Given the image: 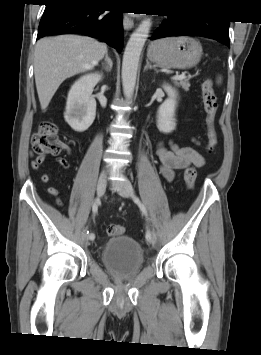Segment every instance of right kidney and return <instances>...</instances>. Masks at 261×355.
Instances as JSON below:
<instances>
[{"mask_svg":"<svg viewBox=\"0 0 261 355\" xmlns=\"http://www.w3.org/2000/svg\"><path fill=\"white\" fill-rule=\"evenodd\" d=\"M101 79V74L90 73L72 85L67 97L64 118L73 130L84 132L92 125L96 116V100L92 92Z\"/></svg>","mask_w":261,"mask_h":355,"instance_id":"1","label":"right kidney"}]
</instances>
